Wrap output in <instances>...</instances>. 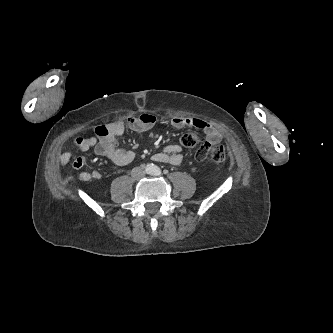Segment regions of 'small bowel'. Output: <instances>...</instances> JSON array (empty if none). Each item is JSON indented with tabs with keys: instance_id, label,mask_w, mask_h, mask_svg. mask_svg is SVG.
<instances>
[{
	"instance_id": "c3829d8e",
	"label": "small bowel",
	"mask_w": 333,
	"mask_h": 333,
	"mask_svg": "<svg viewBox=\"0 0 333 333\" xmlns=\"http://www.w3.org/2000/svg\"><path fill=\"white\" fill-rule=\"evenodd\" d=\"M155 120V117L151 114H142L140 116L128 117L125 120L115 121L106 126L108 129L107 135L78 137L74 141V147L83 152L93 149L97 155L107 157L115 164L124 166L133 161L135 154L132 150L118 148L116 137L121 135L126 128L140 132L149 130L154 126ZM171 124L177 129H199L204 132L206 139L211 144H217L222 139V134L217 127L199 118L177 116L171 120ZM71 157L72 154L69 151H65L60 155L59 162L62 165L67 164L71 160ZM153 159L157 162L181 165L183 162L181 147L177 144L168 145L165 147L164 152L155 154ZM85 163V157H77L73 161V168L80 169ZM100 178L101 174L98 171L83 172L80 174V180L83 182L98 180Z\"/></svg>"
}]
</instances>
